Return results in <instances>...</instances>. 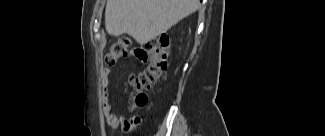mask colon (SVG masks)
<instances>
[{"label": "colon", "instance_id": "1", "mask_svg": "<svg viewBox=\"0 0 325 136\" xmlns=\"http://www.w3.org/2000/svg\"><path fill=\"white\" fill-rule=\"evenodd\" d=\"M131 48L132 41L129 37L119 38L110 45L105 63L108 66L115 65L130 54ZM143 48L148 56V65L133 82V87L139 92L136 103L141 105L146 103V96L141 92L166 77L169 69V41L167 37L160 36L147 42Z\"/></svg>", "mask_w": 325, "mask_h": 136}]
</instances>
